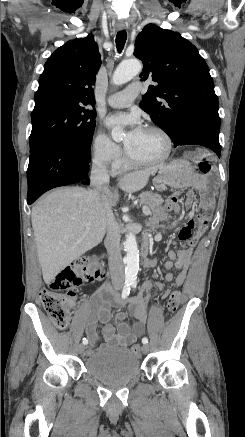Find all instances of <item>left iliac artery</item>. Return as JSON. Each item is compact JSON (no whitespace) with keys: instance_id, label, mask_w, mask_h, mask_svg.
Returning a JSON list of instances; mask_svg holds the SVG:
<instances>
[{"instance_id":"obj_1","label":"left iliac artery","mask_w":245,"mask_h":437,"mask_svg":"<svg viewBox=\"0 0 245 437\" xmlns=\"http://www.w3.org/2000/svg\"><path fill=\"white\" fill-rule=\"evenodd\" d=\"M131 285H132L133 288H136V283H135V282H133ZM142 343H143V344H147V343H148V338H147V337H144V338L142 339Z\"/></svg>"}]
</instances>
